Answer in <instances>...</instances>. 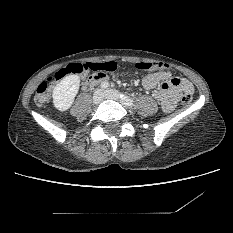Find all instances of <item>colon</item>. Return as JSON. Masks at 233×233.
<instances>
[{
    "label": "colon",
    "instance_id": "colon-1",
    "mask_svg": "<svg viewBox=\"0 0 233 233\" xmlns=\"http://www.w3.org/2000/svg\"><path fill=\"white\" fill-rule=\"evenodd\" d=\"M136 68L139 70L145 71H155V70H165L167 67L163 62L159 61H142L136 63ZM93 70L99 71L101 74H105V72H113L115 67H111L108 64H98L93 63L91 65ZM84 65L81 63H71L64 68L59 69L58 71L51 74L46 81L41 82L36 89L34 100L38 105L45 104L50 98V88L53 84L61 81L67 75H78L83 72ZM192 101V96L189 93H184L182 96V103L184 105L190 104Z\"/></svg>",
    "mask_w": 233,
    "mask_h": 233
}]
</instances>
